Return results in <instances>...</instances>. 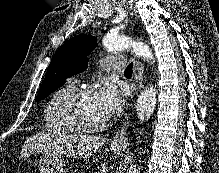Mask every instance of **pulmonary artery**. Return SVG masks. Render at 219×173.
<instances>
[{
  "instance_id": "pulmonary-artery-1",
  "label": "pulmonary artery",
  "mask_w": 219,
  "mask_h": 173,
  "mask_svg": "<svg viewBox=\"0 0 219 173\" xmlns=\"http://www.w3.org/2000/svg\"><path fill=\"white\" fill-rule=\"evenodd\" d=\"M125 59L121 56H105L101 67L105 71H121L124 69Z\"/></svg>"
}]
</instances>
